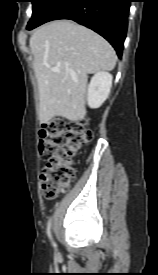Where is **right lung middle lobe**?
<instances>
[{
  "label": "right lung middle lobe",
  "instance_id": "dd1d6c3e",
  "mask_svg": "<svg viewBox=\"0 0 158 275\" xmlns=\"http://www.w3.org/2000/svg\"><path fill=\"white\" fill-rule=\"evenodd\" d=\"M33 3V15L27 25V27H31L35 25L44 15V13L48 10V8L56 1V0H31Z\"/></svg>",
  "mask_w": 158,
  "mask_h": 275
}]
</instances>
